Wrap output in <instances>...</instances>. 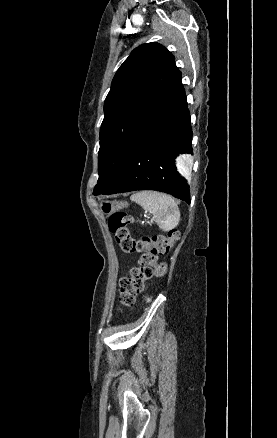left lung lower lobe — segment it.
Segmentation results:
<instances>
[{
  "instance_id": "left-lung-lower-lobe-1",
  "label": "left lung lower lobe",
  "mask_w": 277,
  "mask_h": 438,
  "mask_svg": "<svg viewBox=\"0 0 277 438\" xmlns=\"http://www.w3.org/2000/svg\"><path fill=\"white\" fill-rule=\"evenodd\" d=\"M190 115L164 100L149 97L137 116L133 141L123 168L101 194L156 190L190 203L186 181L176 170L179 153H192Z\"/></svg>"
}]
</instances>
